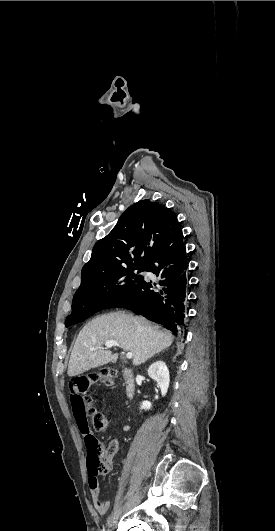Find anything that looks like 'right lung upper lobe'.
Returning a JSON list of instances; mask_svg holds the SVG:
<instances>
[{
  "label": "right lung upper lobe",
  "mask_w": 275,
  "mask_h": 531,
  "mask_svg": "<svg viewBox=\"0 0 275 531\" xmlns=\"http://www.w3.org/2000/svg\"><path fill=\"white\" fill-rule=\"evenodd\" d=\"M179 225L176 215L164 205L147 199L133 204L112 231L94 245L90 260L82 268L80 286L124 267L147 266Z\"/></svg>",
  "instance_id": "cb5924a9"
}]
</instances>
